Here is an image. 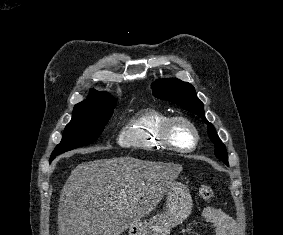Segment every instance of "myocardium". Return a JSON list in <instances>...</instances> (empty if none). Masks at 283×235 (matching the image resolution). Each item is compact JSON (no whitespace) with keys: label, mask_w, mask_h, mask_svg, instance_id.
I'll use <instances>...</instances> for the list:
<instances>
[{"label":"myocardium","mask_w":283,"mask_h":235,"mask_svg":"<svg viewBox=\"0 0 283 235\" xmlns=\"http://www.w3.org/2000/svg\"><path fill=\"white\" fill-rule=\"evenodd\" d=\"M183 124L187 126L193 135V144L189 147H181L174 143L172 137V129L176 124ZM161 138L165 145L177 152L187 153L196 149L199 143V132L195 124L185 116H171L169 117L161 128Z\"/></svg>","instance_id":"1"}]
</instances>
